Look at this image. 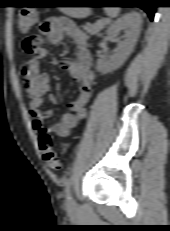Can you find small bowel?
<instances>
[{
    "label": "small bowel",
    "instance_id": "small-bowel-1",
    "mask_svg": "<svg viewBox=\"0 0 170 231\" xmlns=\"http://www.w3.org/2000/svg\"><path fill=\"white\" fill-rule=\"evenodd\" d=\"M39 33L45 36L51 45L59 44L65 37H68L73 41L77 50L75 59L61 62V67L78 82L77 98L69 105V112L64 113L52 125L45 124L46 118L51 116L52 112L40 110L46 96L51 103L57 101L53 94H49L48 75L40 69L41 61L48 55V48L42 37L37 36L39 46L22 69L23 85L30 99L29 113L32 117L33 128L40 134L53 133L64 138L69 136L77 123L86 117L87 104L91 98L94 74L91 70V55L87 46V36L72 20L64 17L46 19L40 24Z\"/></svg>",
    "mask_w": 170,
    "mask_h": 231
}]
</instances>
